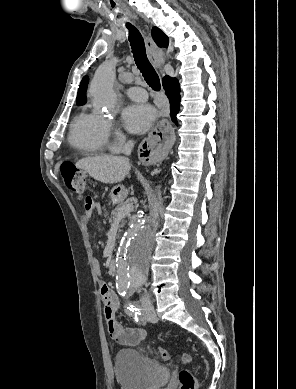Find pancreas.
I'll return each mask as SVG.
<instances>
[{"label": "pancreas", "instance_id": "1", "mask_svg": "<svg viewBox=\"0 0 296 389\" xmlns=\"http://www.w3.org/2000/svg\"><path fill=\"white\" fill-rule=\"evenodd\" d=\"M126 205V203H121L119 204L114 210H112L111 212V218L109 219V222L112 223L114 220H117L119 217H118V212H119V209ZM125 216H122L120 217V228L123 227L125 225Z\"/></svg>", "mask_w": 296, "mask_h": 389}]
</instances>
